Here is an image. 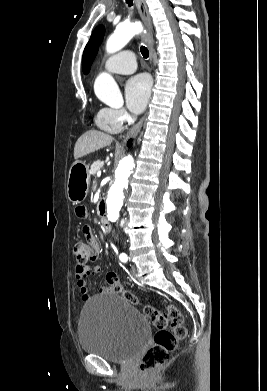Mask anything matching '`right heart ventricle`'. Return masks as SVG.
<instances>
[{
    "mask_svg": "<svg viewBox=\"0 0 267 391\" xmlns=\"http://www.w3.org/2000/svg\"><path fill=\"white\" fill-rule=\"evenodd\" d=\"M95 121H96V124L97 126L106 131V132H109V133H116L120 130V127L115 125L114 123H112L107 117H106V114H105V111L104 109H101L98 111L96 117H95Z\"/></svg>",
    "mask_w": 267,
    "mask_h": 391,
    "instance_id": "obj_1",
    "label": "right heart ventricle"
}]
</instances>
